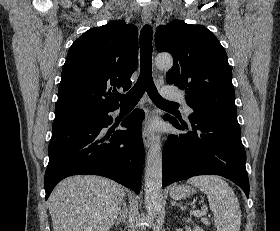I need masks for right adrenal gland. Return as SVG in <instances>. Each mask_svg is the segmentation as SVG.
<instances>
[{
	"label": "right adrenal gland",
	"instance_id": "right-adrenal-gland-1",
	"mask_svg": "<svg viewBox=\"0 0 280 231\" xmlns=\"http://www.w3.org/2000/svg\"><path fill=\"white\" fill-rule=\"evenodd\" d=\"M126 211L127 209L125 205H123V209H121V211H118V217H116L114 225H119V223H126Z\"/></svg>",
	"mask_w": 280,
	"mask_h": 231
}]
</instances>
